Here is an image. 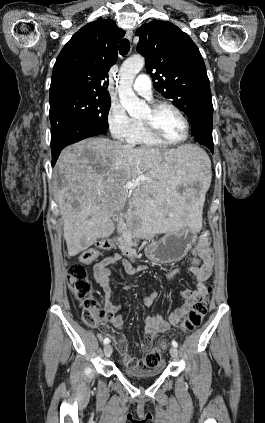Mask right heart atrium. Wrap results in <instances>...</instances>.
<instances>
[{"label":"right heart atrium","mask_w":265,"mask_h":423,"mask_svg":"<svg viewBox=\"0 0 265 423\" xmlns=\"http://www.w3.org/2000/svg\"><path fill=\"white\" fill-rule=\"evenodd\" d=\"M107 123L114 139L127 141L134 125L126 110L118 103H111L107 112Z\"/></svg>","instance_id":"right-heart-atrium-1"}]
</instances>
